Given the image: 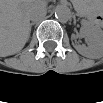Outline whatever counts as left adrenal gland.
Returning a JSON list of instances; mask_svg holds the SVG:
<instances>
[{
    "label": "left adrenal gland",
    "mask_w": 103,
    "mask_h": 103,
    "mask_svg": "<svg viewBox=\"0 0 103 103\" xmlns=\"http://www.w3.org/2000/svg\"><path fill=\"white\" fill-rule=\"evenodd\" d=\"M74 25H76V19H74Z\"/></svg>",
    "instance_id": "a2214340"
}]
</instances>
